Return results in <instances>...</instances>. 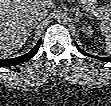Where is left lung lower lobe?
Wrapping results in <instances>:
<instances>
[{"instance_id": "0a47b994", "label": "left lung lower lobe", "mask_w": 111, "mask_h": 106, "mask_svg": "<svg viewBox=\"0 0 111 106\" xmlns=\"http://www.w3.org/2000/svg\"><path fill=\"white\" fill-rule=\"evenodd\" d=\"M77 49L82 52L85 56H90V57H93V58H96L98 60H102V61H105V62H111V58H108V57H98V56H93V55H90V54H87L86 52H84L83 50H81L79 48V46L75 43Z\"/></svg>"}]
</instances>
